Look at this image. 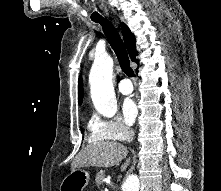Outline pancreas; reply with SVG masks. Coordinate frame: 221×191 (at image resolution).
Masks as SVG:
<instances>
[{
    "mask_svg": "<svg viewBox=\"0 0 221 191\" xmlns=\"http://www.w3.org/2000/svg\"><path fill=\"white\" fill-rule=\"evenodd\" d=\"M105 178V173L103 171L98 172L95 177V182L97 186L102 184V180Z\"/></svg>",
    "mask_w": 221,
    "mask_h": 191,
    "instance_id": "pancreas-1",
    "label": "pancreas"
}]
</instances>
